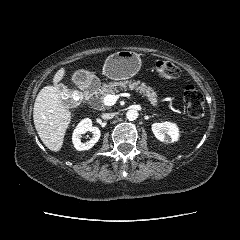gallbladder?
Listing matches in <instances>:
<instances>
[{
  "label": "gallbladder",
  "instance_id": "gallbladder-1",
  "mask_svg": "<svg viewBox=\"0 0 240 240\" xmlns=\"http://www.w3.org/2000/svg\"><path fill=\"white\" fill-rule=\"evenodd\" d=\"M57 87L59 88V90H62V89L64 88V86H63L62 84H58ZM68 95H69V98H67V99H65V100L63 101V103H64L66 106H70L71 103H72V100H71V98H70L71 92H68Z\"/></svg>",
  "mask_w": 240,
  "mask_h": 240
}]
</instances>
